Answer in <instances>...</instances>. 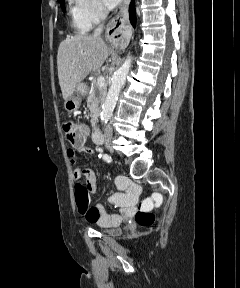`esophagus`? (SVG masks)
Masks as SVG:
<instances>
[{"label": "esophagus", "mask_w": 240, "mask_h": 288, "mask_svg": "<svg viewBox=\"0 0 240 288\" xmlns=\"http://www.w3.org/2000/svg\"><path fill=\"white\" fill-rule=\"evenodd\" d=\"M129 4L130 0H123L119 12L107 26V38L116 46L122 45L125 38Z\"/></svg>", "instance_id": "1"}]
</instances>
